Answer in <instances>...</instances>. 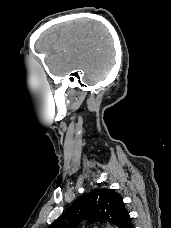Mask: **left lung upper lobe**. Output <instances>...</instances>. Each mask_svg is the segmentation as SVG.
Masks as SVG:
<instances>
[{
	"mask_svg": "<svg viewBox=\"0 0 171 228\" xmlns=\"http://www.w3.org/2000/svg\"><path fill=\"white\" fill-rule=\"evenodd\" d=\"M109 221L125 228L130 220L122 197L112 189H95L80 197L50 228H76L82 220Z\"/></svg>",
	"mask_w": 171,
	"mask_h": 228,
	"instance_id": "5c2ea615",
	"label": "left lung upper lobe"
}]
</instances>
